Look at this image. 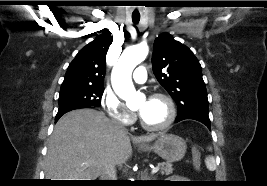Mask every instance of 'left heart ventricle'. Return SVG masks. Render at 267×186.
Returning a JSON list of instances; mask_svg holds the SVG:
<instances>
[{"label": "left heart ventricle", "mask_w": 267, "mask_h": 186, "mask_svg": "<svg viewBox=\"0 0 267 186\" xmlns=\"http://www.w3.org/2000/svg\"><path fill=\"white\" fill-rule=\"evenodd\" d=\"M143 121L151 126L162 124L168 116V106L162 99L150 98L139 101L137 108Z\"/></svg>", "instance_id": "obj_1"}]
</instances>
